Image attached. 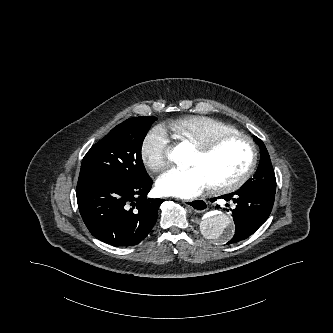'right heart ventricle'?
<instances>
[{"instance_id": "e07e8e85", "label": "right heart ventricle", "mask_w": 333, "mask_h": 333, "mask_svg": "<svg viewBox=\"0 0 333 333\" xmlns=\"http://www.w3.org/2000/svg\"><path fill=\"white\" fill-rule=\"evenodd\" d=\"M167 128L178 141H186L194 146L216 136L237 133L230 125L206 116L192 115L171 120Z\"/></svg>"}]
</instances>
